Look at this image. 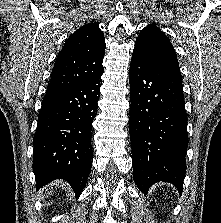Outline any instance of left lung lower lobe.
Here are the masks:
<instances>
[{
    "instance_id": "obj_1",
    "label": "left lung lower lobe",
    "mask_w": 221,
    "mask_h": 223,
    "mask_svg": "<svg viewBox=\"0 0 221 223\" xmlns=\"http://www.w3.org/2000/svg\"><path fill=\"white\" fill-rule=\"evenodd\" d=\"M129 81L135 183L145 194L160 181L182 193L188 136L181 73L133 54Z\"/></svg>"
}]
</instances>
